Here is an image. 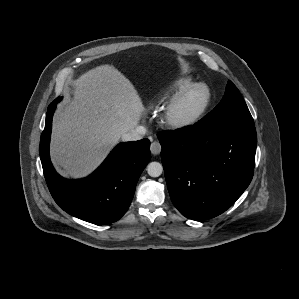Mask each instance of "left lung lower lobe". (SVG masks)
<instances>
[{
  "instance_id": "1",
  "label": "left lung lower lobe",
  "mask_w": 299,
  "mask_h": 299,
  "mask_svg": "<svg viewBox=\"0 0 299 299\" xmlns=\"http://www.w3.org/2000/svg\"><path fill=\"white\" fill-rule=\"evenodd\" d=\"M157 136L171 200L189 219L220 215L252 180L254 126L212 128L198 122Z\"/></svg>"
}]
</instances>
